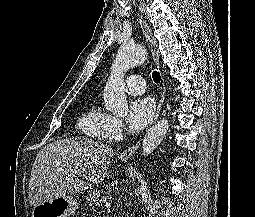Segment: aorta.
<instances>
[{
  "instance_id": "obj_1",
  "label": "aorta",
  "mask_w": 255,
  "mask_h": 217,
  "mask_svg": "<svg viewBox=\"0 0 255 217\" xmlns=\"http://www.w3.org/2000/svg\"><path fill=\"white\" fill-rule=\"evenodd\" d=\"M147 51L139 46L122 45L111 67V75L104 88V102L106 109L118 116L128 113L125 95L124 75L130 68L145 62ZM169 128L166 119L159 121L146 133L143 139V155L151 154L161 143Z\"/></svg>"
}]
</instances>
